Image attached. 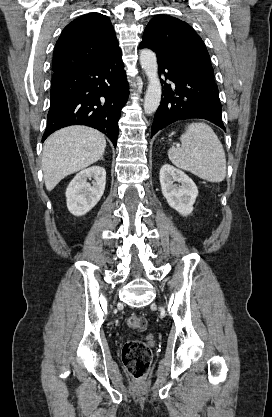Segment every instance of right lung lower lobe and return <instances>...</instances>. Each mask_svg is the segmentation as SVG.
I'll list each match as a JSON object with an SVG mask.
<instances>
[{"label": "right lung lower lobe", "mask_w": 272, "mask_h": 417, "mask_svg": "<svg viewBox=\"0 0 272 417\" xmlns=\"http://www.w3.org/2000/svg\"><path fill=\"white\" fill-rule=\"evenodd\" d=\"M128 93L120 48L93 66L54 72L42 141L62 127L79 124L98 129L116 146L118 120Z\"/></svg>", "instance_id": "1"}]
</instances>
